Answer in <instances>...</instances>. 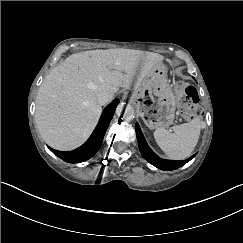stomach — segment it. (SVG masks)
I'll return each mask as SVG.
<instances>
[{
    "mask_svg": "<svg viewBox=\"0 0 243 243\" xmlns=\"http://www.w3.org/2000/svg\"><path fill=\"white\" fill-rule=\"evenodd\" d=\"M130 101L148 128H165L172 124L177 102L162 63L144 77L140 86L134 89Z\"/></svg>",
    "mask_w": 243,
    "mask_h": 243,
    "instance_id": "stomach-1",
    "label": "stomach"
}]
</instances>
